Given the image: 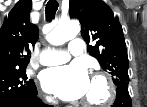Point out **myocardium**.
<instances>
[{"label": "myocardium", "instance_id": "myocardium-1", "mask_svg": "<svg viewBox=\"0 0 147 107\" xmlns=\"http://www.w3.org/2000/svg\"><path fill=\"white\" fill-rule=\"evenodd\" d=\"M92 81H97L102 84L103 95L100 99H84L82 103L89 107L106 106L112 103L116 96V87L114 82L103 73H97L93 75Z\"/></svg>", "mask_w": 147, "mask_h": 107}]
</instances>
